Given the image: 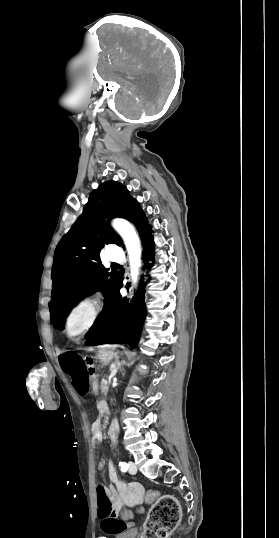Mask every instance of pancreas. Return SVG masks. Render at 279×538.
<instances>
[{
  "instance_id": "1",
  "label": "pancreas",
  "mask_w": 279,
  "mask_h": 538,
  "mask_svg": "<svg viewBox=\"0 0 279 538\" xmlns=\"http://www.w3.org/2000/svg\"><path fill=\"white\" fill-rule=\"evenodd\" d=\"M108 387H110L109 380L104 379V380L102 381L101 392L107 393V392L109 391V388H108Z\"/></svg>"
}]
</instances>
